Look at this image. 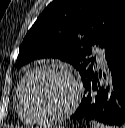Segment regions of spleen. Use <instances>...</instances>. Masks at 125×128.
<instances>
[{
  "label": "spleen",
  "instance_id": "obj_1",
  "mask_svg": "<svg viewBox=\"0 0 125 128\" xmlns=\"http://www.w3.org/2000/svg\"><path fill=\"white\" fill-rule=\"evenodd\" d=\"M92 128H108V127L99 122L94 121L92 124Z\"/></svg>",
  "mask_w": 125,
  "mask_h": 128
}]
</instances>
